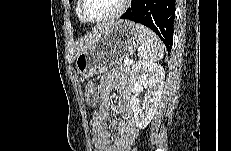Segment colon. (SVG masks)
<instances>
[{"label":"colon","instance_id":"5ec220e1","mask_svg":"<svg viewBox=\"0 0 231 151\" xmlns=\"http://www.w3.org/2000/svg\"><path fill=\"white\" fill-rule=\"evenodd\" d=\"M86 97L90 105L94 106L96 104V93L92 82L87 85Z\"/></svg>","mask_w":231,"mask_h":151}]
</instances>
